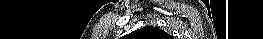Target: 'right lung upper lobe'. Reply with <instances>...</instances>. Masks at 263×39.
<instances>
[{
    "mask_svg": "<svg viewBox=\"0 0 263 39\" xmlns=\"http://www.w3.org/2000/svg\"><path fill=\"white\" fill-rule=\"evenodd\" d=\"M132 39H172V37L163 30L156 27H144L139 30L134 31L132 34Z\"/></svg>",
    "mask_w": 263,
    "mask_h": 39,
    "instance_id": "right-lung-upper-lobe-1",
    "label": "right lung upper lobe"
}]
</instances>
